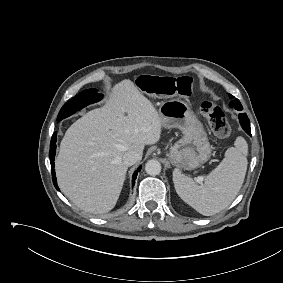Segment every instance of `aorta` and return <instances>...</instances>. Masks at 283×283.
I'll return each mask as SVG.
<instances>
[{
    "mask_svg": "<svg viewBox=\"0 0 283 283\" xmlns=\"http://www.w3.org/2000/svg\"><path fill=\"white\" fill-rule=\"evenodd\" d=\"M145 171L151 176L158 175L161 172V164L159 161L152 159L145 165Z\"/></svg>",
    "mask_w": 283,
    "mask_h": 283,
    "instance_id": "obj_1",
    "label": "aorta"
}]
</instances>
